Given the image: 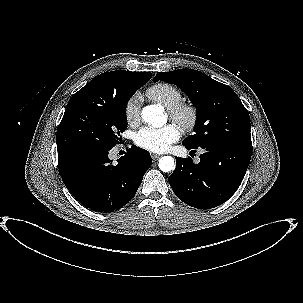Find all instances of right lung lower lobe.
<instances>
[{
  "mask_svg": "<svg viewBox=\"0 0 303 303\" xmlns=\"http://www.w3.org/2000/svg\"><path fill=\"white\" fill-rule=\"evenodd\" d=\"M110 149L58 152L65 186L83 206L97 212H112L126 205L152 164L150 153L134 145L112 163Z\"/></svg>",
  "mask_w": 303,
  "mask_h": 303,
  "instance_id": "1",
  "label": "right lung lower lobe"
}]
</instances>
